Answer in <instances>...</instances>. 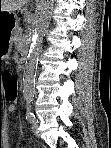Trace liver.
I'll use <instances>...</instances> for the list:
<instances>
[{
    "label": "liver",
    "instance_id": "obj_1",
    "mask_svg": "<svg viewBox=\"0 0 111 148\" xmlns=\"http://www.w3.org/2000/svg\"><path fill=\"white\" fill-rule=\"evenodd\" d=\"M27 3V0H2L1 11L12 12L21 9Z\"/></svg>",
    "mask_w": 111,
    "mask_h": 148
}]
</instances>
